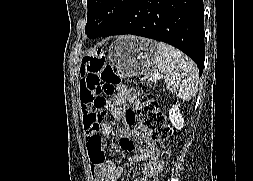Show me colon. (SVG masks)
I'll return each mask as SVG.
<instances>
[{"label": "colon", "instance_id": "obj_1", "mask_svg": "<svg viewBox=\"0 0 253 181\" xmlns=\"http://www.w3.org/2000/svg\"><path fill=\"white\" fill-rule=\"evenodd\" d=\"M88 52L93 56L86 60L83 67L88 90L85 95V102L89 107V115L84 118V123L86 128L94 134V138L100 140L102 137L101 130H93L92 126L102 123L106 115L107 100L114 95L119 84V78L113 68L105 64V55L109 54L108 50H101V47H88ZM138 117L141 127L150 131L153 140L165 142L171 135L172 131L165 124V116L155 100H142L138 108ZM162 169V164H155L143 180L158 181Z\"/></svg>", "mask_w": 253, "mask_h": 181}]
</instances>
